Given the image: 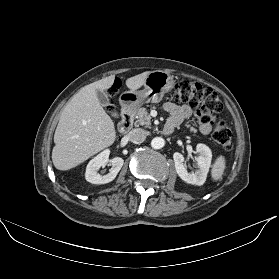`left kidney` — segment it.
<instances>
[{"label":"left kidney","instance_id":"1","mask_svg":"<svg viewBox=\"0 0 279 279\" xmlns=\"http://www.w3.org/2000/svg\"><path fill=\"white\" fill-rule=\"evenodd\" d=\"M196 151L199 156L196 158L198 169L195 172H188L184 165V156L175 152L173 159L178 176L188 184L201 186L206 181V177L211 166L212 152L205 144H197Z\"/></svg>","mask_w":279,"mask_h":279}]
</instances>
